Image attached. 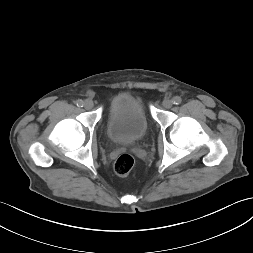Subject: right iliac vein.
I'll use <instances>...</instances> for the list:
<instances>
[{
	"label": "right iliac vein",
	"mask_w": 253,
	"mask_h": 253,
	"mask_svg": "<svg viewBox=\"0 0 253 253\" xmlns=\"http://www.w3.org/2000/svg\"><path fill=\"white\" fill-rule=\"evenodd\" d=\"M93 106H94V103H93L92 100L86 99V100L84 101V107H85L86 109H91Z\"/></svg>",
	"instance_id": "63e3f726"
}]
</instances>
